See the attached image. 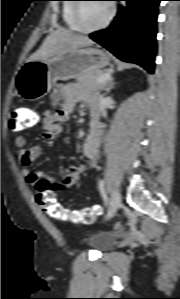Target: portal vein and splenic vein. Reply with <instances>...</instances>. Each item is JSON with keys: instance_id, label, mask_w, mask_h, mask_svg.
I'll return each instance as SVG.
<instances>
[{"instance_id": "18ae733b", "label": "portal vein and splenic vein", "mask_w": 180, "mask_h": 299, "mask_svg": "<svg viewBox=\"0 0 180 299\" xmlns=\"http://www.w3.org/2000/svg\"><path fill=\"white\" fill-rule=\"evenodd\" d=\"M110 79H111V76H110V74L108 73V74H105L104 76L100 77V78L98 79V83H105V82H107V81L110 80Z\"/></svg>"}]
</instances>
